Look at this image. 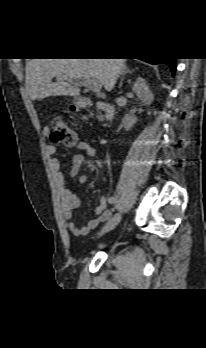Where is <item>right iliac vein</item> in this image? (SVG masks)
I'll use <instances>...</instances> for the list:
<instances>
[{
	"mask_svg": "<svg viewBox=\"0 0 206 348\" xmlns=\"http://www.w3.org/2000/svg\"><path fill=\"white\" fill-rule=\"evenodd\" d=\"M121 214L117 213L115 214L104 226V228L101 230V232L98 234V236H102L103 234L113 230L121 221Z\"/></svg>",
	"mask_w": 206,
	"mask_h": 348,
	"instance_id": "right-iliac-vein-1",
	"label": "right iliac vein"
}]
</instances>
